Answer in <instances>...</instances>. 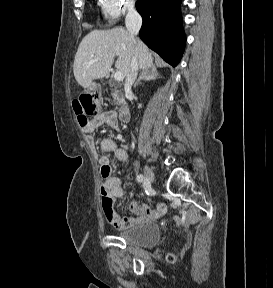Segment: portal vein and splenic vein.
Instances as JSON below:
<instances>
[{
  "label": "portal vein and splenic vein",
  "instance_id": "18ae733b",
  "mask_svg": "<svg viewBox=\"0 0 273 288\" xmlns=\"http://www.w3.org/2000/svg\"><path fill=\"white\" fill-rule=\"evenodd\" d=\"M114 79H115L116 81H118V82L123 81V79H124L123 73L120 72V71H117V72L114 74Z\"/></svg>",
  "mask_w": 273,
  "mask_h": 288
}]
</instances>
